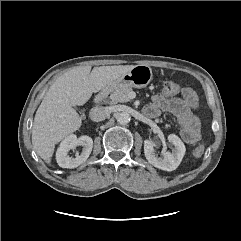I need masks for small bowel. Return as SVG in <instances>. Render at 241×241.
Segmentation results:
<instances>
[{"mask_svg": "<svg viewBox=\"0 0 241 241\" xmlns=\"http://www.w3.org/2000/svg\"><path fill=\"white\" fill-rule=\"evenodd\" d=\"M198 98L191 88H183L181 98L166 97L156 94L152 102L145 108L146 115L156 117L163 111L171 113L181 128V136L188 144H194L200 139V119L196 114Z\"/></svg>", "mask_w": 241, "mask_h": 241, "instance_id": "obj_1", "label": "small bowel"}]
</instances>
